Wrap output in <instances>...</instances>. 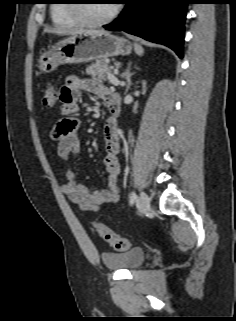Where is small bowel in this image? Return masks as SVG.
<instances>
[{"label":"small bowel","mask_w":236,"mask_h":321,"mask_svg":"<svg viewBox=\"0 0 236 321\" xmlns=\"http://www.w3.org/2000/svg\"><path fill=\"white\" fill-rule=\"evenodd\" d=\"M82 92L92 94L104 101L114 94L108 87L95 79H81L71 75L65 80L60 89V113L62 117L53 125L51 138L57 143V153L63 160L80 159L81 143L78 137L80 121L74 117L79 110V100ZM105 154L103 164L108 175L106 189L89 190L78 181L75 169L66 171V183L62 192L69 200L84 210L97 211L102 204L119 201L118 178L121 173V164L118 159L119 130L116 121L109 117L103 126Z\"/></svg>","instance_id":"obj_1"}]
</instances>
